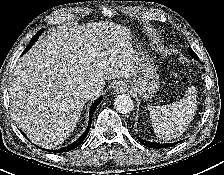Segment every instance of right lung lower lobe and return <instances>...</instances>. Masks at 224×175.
Here are the masks:
<instances>
[{
    "label": "right lung lower lobe",
    "instance_id": "98d812e1",
    "mask_svg": "<svg viewBox=\"0 0 224 175\" xmlns=\"http://www.w3.org/2000/svg\"><path fill=\"white\" fill-rule=\"evenodd\" d=\"M38 39V36L35 35L32 40L30 41L28 47L25 49L24 53H26L31 47L32 45L34 44V42ZM23 53V54H24ZM102 100V97L98 98L91 106L90 108V115H89V124H88V127L86 129V131L79 137V139H77L75 142H73L72 144H70L69 146L65 147V148H62V149H59V150H51V152H66V151H70V150H73L75 148H77L83 141L84 139L86 138L89 130H90V127H91V123H92V116H93V113L95 111V109L97 108V106L99 105V103L101 102ZM24 136L25 134L23 132H21ZM26 137V136H25ZM45 150V149H43ZM50 151V150H49Z\"/></svg>",
    "mask_w": 224,
    "mask_h": 175
}]
</instances>
